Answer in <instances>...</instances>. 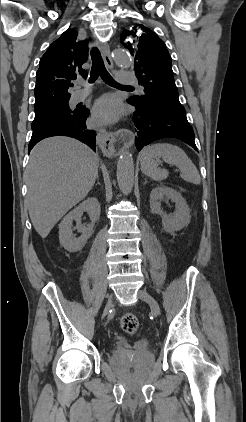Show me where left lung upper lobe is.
<instances>
[{"mask_svg":"<svg viewBox=\"0 0 246 422\" xmlns=\"http://www.w3.org/2000/svg\"><path fill=\"white\" fill-rule=\"evenodd\" d=\"M122 45L135 58L134 70L144 95L127 101L140 108L158 107L185 113L178 99L171 67V57L165 43L150 29L136 25L121 34Z\"/></svg>","mask_w":246,"mask_h":422,"instance_id":"5c2ea615","label":"left lung upper lobe"}]
</instances>
